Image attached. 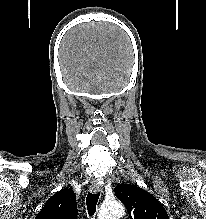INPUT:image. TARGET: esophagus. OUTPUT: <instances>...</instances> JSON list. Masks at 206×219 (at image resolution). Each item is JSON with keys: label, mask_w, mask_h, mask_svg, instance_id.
<instances>
[{"label": "esophagus", "mask_w": 206, "mask_h": 219, "mask_svg": "<svg viewBox=\"0 0 206 219\" xmlns=\"http://www.w3.org/2000/svg\"><path fill=\"white\" fill-rule=\"evenodd\" d=\"M90 190L92 193H100L102 192V186L98 183H92L90 186Z\"/></svg>", "instance_id": "obj_1"}]
</instances>
